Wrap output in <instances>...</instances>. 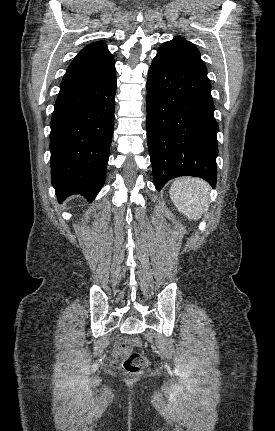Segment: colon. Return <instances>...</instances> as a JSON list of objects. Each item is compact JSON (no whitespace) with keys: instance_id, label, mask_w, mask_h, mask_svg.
Returning a JSON list of instances; mask_svg holds the SVG:
<instances>
[{"instance_id":"1","label":"colon","mask_w":275,"mask_h":431,"mask_svg":"<svg viewBox=\"0 0 275 431\" xmlns=\"http://www.w3.org/2000/svg\"><path fill=\"white\" fill-rule=\"evenodd\" d=\"M142 341L139 337L125 340V345L129 348L141 346ZM147 365V359L143 353L131 352L123 362L124 369L129 373H139Z\"/></svg>"}]
</instances>
